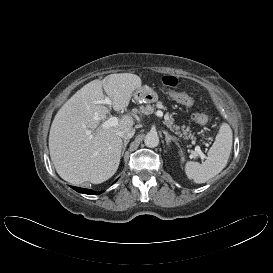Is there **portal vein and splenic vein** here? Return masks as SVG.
I'll return each mask as SVG.
<instances>
[{"mask_svg":"<svg viewBox=\"0 0 273 273\" xmlns=\"http://www.w3.org/2000/svg\"><path fill=\"white\" fill-rule=\"evenodd\" d=\"M103 104H107V105H111L112 104V101L109 97H106L103 101H102ZM156 116L158 117H162L163 116V113L161 111H157L156 113ZM119 122V119L117 117H110L108 120L104 121L103 124H102V127L103 128H109L111 126H116ZM200 152V148L197 146L195 148V151H193L191 153V158H195L197 156V153ZM200 157L202 160H204L205 158V155L201 152L200 153Z\"/></svg>","mask_w":273,"mask_h":273,"instance_id":"portal-vein-and-splenic-vein-1","label":"portal vein and splenic vein"}]
</instances>
